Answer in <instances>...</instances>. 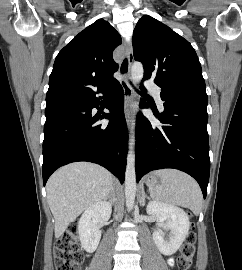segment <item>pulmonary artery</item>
I'll list each match as a JSON object with an SVG mask.
<instances>
[{
    "label": "pulmonary artery",
    "instance_id": "1",
    "mask_svg": "<svg viewBox=\"0 0 242 270\" xmlns=\"http://www.w3.org/2000/svg\"><path fill=\"white\" fill-rule=\"evenodd\" d=\"M146 88L148 90H150L152 92V94L154 95V97L156 98L157 104L159 106L160 109H163V102L161 100V89L158 85H156L154 82L152 81H147L145 84Z\"/></svg>",
    "mask_w": 242,
    "mask_h": 270
}]
</instances>
